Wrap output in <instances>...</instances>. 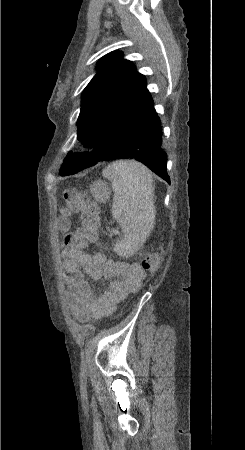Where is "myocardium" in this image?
I'll list each match as a JSON object with an SVG mask.
<instances>
[{
	"label": "myocardium",
	"instance_id": "1",
	"mask_svg": "<svg viewBox=\"0 0 245 450\" xmlns=\"http://www.w3.org/2000/svg\"><path fill=\"white\" fill-rule=\"evenodd\" d=\"M96 146H97V145H92V146H91V149H92V150H93V149H96Z\"/></svg>",
	"mask_w": 245,
	"mask_h": 450
}]
</instances>
